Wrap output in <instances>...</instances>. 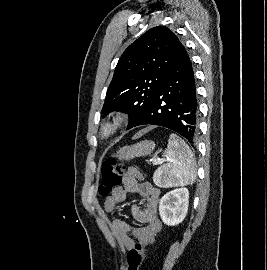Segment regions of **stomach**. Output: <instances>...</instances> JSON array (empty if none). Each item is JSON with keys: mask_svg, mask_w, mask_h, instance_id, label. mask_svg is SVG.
I'll return each mask as SVG.
<instances>
[{"mask_svg": "<svg viewBox=\"0 0 267 270\" xmlns=\"http://www.w3.org/2000/svg\"><path fill=\"white\" fill-rule=\"evenodd\" d=\"M155 143L153 141L145 140L132 146H124L120 148L116 157L119 160H130L135 157L146 156L153 152Z\"/></svg>", "mask_w": 267, "mask_h": 270, "instance_id": "stomach-1", "label": "stomach"}]
</instances>
